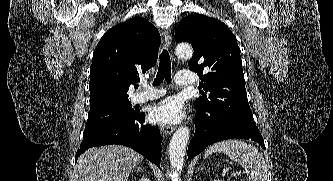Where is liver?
<instances>
[{
    "mask_svg": "<svg viewBox=\"0 0 333 181\" xmlns=\"http://www.w3.org/2000/svg\"><path fill=\"white\" fill-rule=\"evenodd\" d=\"M142 160V155L121 145L90 148L78 158L74 181H127Z\"/></svg>",
    "mask_w": 333,
    "mask_h": 181,
    "instance_id": "1",
    "label": "liver"
}]
</instances>
